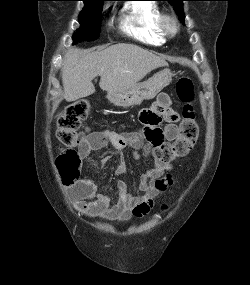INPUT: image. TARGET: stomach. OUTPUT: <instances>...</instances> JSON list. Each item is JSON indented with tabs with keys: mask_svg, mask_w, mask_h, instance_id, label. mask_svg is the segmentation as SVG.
Returning <instances> with one entry per match:
<instances>
[{
	"mask_svg": "<svg viewBox=\"0 0 250 285\" xmlns=\"http://www.w3.org/2000/svg\"><path fill=\"white\" fill-rule=\"evenodd\" d=\"M170 69H164L151 78L126 89L107 93V99L115 106L130 107L141 104L144 100L153 99L172 80Z\"/></svg>",
	"mask_w": 250,
	"mask_h": 285,
	"instance_id": "0dacf381",
	"label": "stomach"
}]
</instances>
